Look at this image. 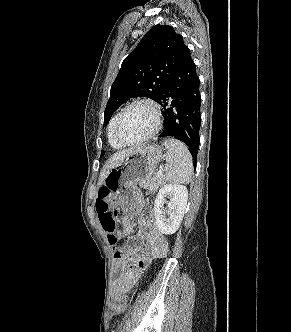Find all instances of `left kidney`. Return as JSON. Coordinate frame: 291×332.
Listing matches in <instances>:
<instances>
[{"mask_svg": "<svg viewBox=\"0 0 291 332\" xmlns=\"http://www.w3.org/2000/svg\"><path fill=\"white\" fill-rule=\"evenodd\" d=\"M170 198L169 202L166 198ZM188 200L186 186L179 184L164 185L154 202V216L158 230L165 235L174 234L183 219ZM168 204V217L164 216L163 205Z\"/></svg>", "mask_w": 291, "mask_h": 332, "instance_id": "left-kidney-1", "label": "left kidney"}]
</instances>
